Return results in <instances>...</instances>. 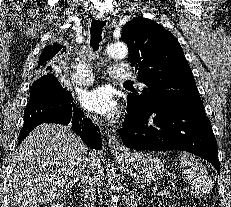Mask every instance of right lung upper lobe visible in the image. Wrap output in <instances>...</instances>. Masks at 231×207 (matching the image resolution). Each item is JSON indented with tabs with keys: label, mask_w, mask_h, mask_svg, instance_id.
Listing matches in <instances>:
<instances>
[{
	"label": "right lung upper lobe",
	"mask_w": 231,
	"mask_h": 207,
	"mask_svg": "<svg viewBox=\"0 0 231 207\" xmlns=\"http://www.w3.org/2000/svg\"><path fill=\"white\" fill-rule=\"evenodd\" d=\"M65 46L54 43L53 45L47 46L41 53L39 61H38V67L40 70L48 69L50 64L55 61L57 57H59L60 54L65 52ZM48 66V68H47ZM52 74H47L45 76H50Z\"/></svg>",
	"instance_id": "obj_1"
}]
</instances>
